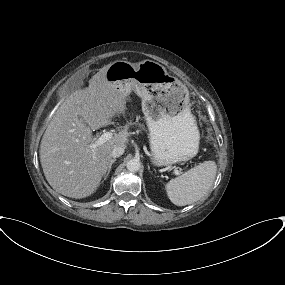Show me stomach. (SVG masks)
Instances as JSON below:
<instances>
[{
    "mask_svg": "<svg viewBox=\"0 0 285 285\" xmlns=\"http://www.w3.org/2000/svg\"><path fill=\"white\" fill-rule=\"evenodd\" d=\"M105 77L142 98L155 166L187 161L197 154L200 137L191 113L189 91L163 65L152 60L115 61Z\"/></svg>",
    "mask_w": 285,
    "mask_h": 285,
    "instance_id": "stomach-1",
    "label": "stomach"
}]
</instances>
